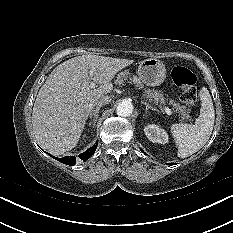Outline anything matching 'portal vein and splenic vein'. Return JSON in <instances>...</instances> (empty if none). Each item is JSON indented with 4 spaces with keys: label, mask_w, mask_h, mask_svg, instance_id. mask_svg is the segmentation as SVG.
I'll return each mask as SVG.
<instances>
[{
    "label": "portal vein and splenic vein",
    "mask_w": 233,
    "mask_h": 233,
    "mask_svg": "<svg viewBox=\"0 0 233 233\" xmlns=\"http://www.w3.org/2000/svg\"><path fill=\"white\" fill-rule=\"evenodd\" d=\"M89 75L92 76V75H93V71H90V72H89ZM133 80L136 81V82H138V83H140L139 79H137V78H135V77L133 78ZM90 87H91V88H95V87H96V84H95L94 82H91V83H90ZM164 110H165V112H166L168 115H171V114H172L171 109H169L168 107H165Z\"/></svg>",
    "instance_id": "portal-vein-and-splenic-vein-1"
}]
</instances>
